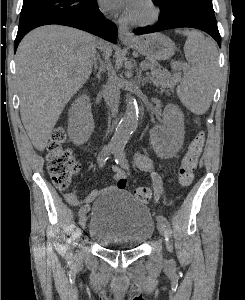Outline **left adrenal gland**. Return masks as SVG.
I'll return each instance as SVG.
<instances>
[{"label": "left adrenal gland", "mask_w": 245, "mask_h": 300, "mask_svg": "<svg viewBox=\"0 0 245 300\" xmlns=\"http://www.w3.org/2000/svg\"><path fill=\"white\" fill-rule=\"evenodd\" d=\"M141 75H142V71H141V69L139 70V74H138V82L142 85V86H144L146 83H149L150 82V79H149V77H141Z\"/></svg>", "instance_id": "1"}]
</instances>
